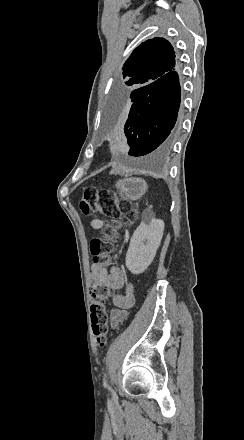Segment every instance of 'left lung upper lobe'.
<instances>
[{"label": "left lung upper lobe", "instance_id": "obj_1", "mask_svg": "<svg viewBox=\"0 0 244 440\" xmlns=\"http://www.w3.org/2000/svg\"><path fill=\"white\" fill-rule=\"evenodd\" d=\"M175 67V52L164 38H153L138 46L123 66L126 85L150 84Z\"/></svg>", "mask_w": 244, "mask_h": 440}]
</instances>
